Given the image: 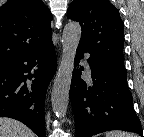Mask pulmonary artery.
Returning <instances> with one entry per match:
<instances>
[{
	"mask_svg": "<svg viewBox=\"0 0 144 137\" xmlns=\"http://www.w3.org/2000/svg\"><path fill=\"white\" fill-rule=\"evenodd\" d=\"M87 59H88V55L85 56V60H86V61H85V64H86V69H87V71L90 72V66H89V64H88V62H87Z\"/></svg>",
	"mask_w": 144,
	"mask_h": 137,
	"instance_id": "obj_1",
	"label": "pulmonary artery"
}]
</instances>
